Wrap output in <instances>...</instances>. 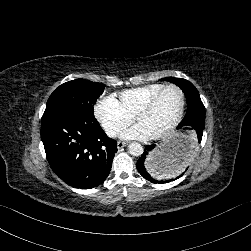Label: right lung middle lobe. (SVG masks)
<instances>
[{"label":"right lung middle lobe","instance_id":"1","mask_svg":"<svg viewBox=\"0 0 251 251\" xmlns=\"http://www.w3.org/2000/svg\"><path fill=\"white\" fill-rule=\"evenodd\" d=\"M104 89V84L85 79L66 82L50 95L45 111L62 110L94 116L93 105Z\"/></svg>","mask_w":251,"mask_h":251}]
</instances>
